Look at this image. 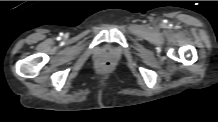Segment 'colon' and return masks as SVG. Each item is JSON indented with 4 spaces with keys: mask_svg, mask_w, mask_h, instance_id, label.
Wrapping results in <instances>:
<instances>
[{
    "mask_svg": "<svg viewBox=\"0 0 218 122\" xmlns=\"http://www.w3.org/2000/svg\"><path fill=\"white\" fill-rule=\"evenodd\" d=\"M102 67H103L104 69L109 68V67H110V62H108V61L103 62V63H102Z\"/></svg>",
    "mask_w": 218,
    "mask_h": 122,
    "instance_id": "1",
    "label": "colon"
}]
</instances>
